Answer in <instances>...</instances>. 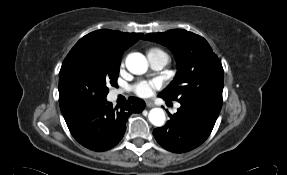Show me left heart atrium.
<instances>
[{
	"label": "left heart atrium",
	"instance_id": "39dd6f15",
	"mask_svg": "<svg viewBox=\"0 0 287 175\" xmlns=\"http://www.w3.org/2000/svg\"><path fill=\"white\" fill-rule=\"evenodd\" d=\"M161 87L159 79L140 80L133 86V91L140 97H150L155 90Z\"/></svg>",
	"mask_w": 287,
	"mask_h": 175
}]
</instances>
